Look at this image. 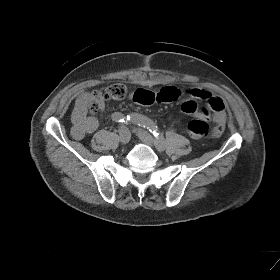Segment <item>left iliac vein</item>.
Here are the masks:
<instances>
[{
    "instance_id": "4c4485c4",
    "label": "left iliac vein",
    "mask_w": 280,
    "mask_h": 280,
    "mask_svg": "<svg viewBox=\"0 0 280 280\" xmlns=\"http://www.w3.org/2000/svg\"><path fill=\"white\" fill-rule=\"evenodd\" d=\"M136 134L143 143H145L151 147L154 145V139L147 131H145L143 129H137ZM157 149L159 151H163L164 147L157 146Z\"/></svg>"
}]
</instances>
